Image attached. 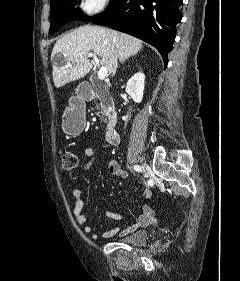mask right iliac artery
Wrapping results in <instances>:
<instances>
[{
	"label": "right iliac artery",
	"instance_id": "obj_1",
	"mask_svg": "<svg viewBox=\"0 0 240 281\" xmlns=\"http://www.w3.org/2000/svg\"><path fill=\"white\" fill-rule=\"evenodd\" d=\"M133 169L137 172H141V167L139 165H134Z\"/></svg>",
	"mask_w": 240,
	"mask_h": 281
}]
</instances>
